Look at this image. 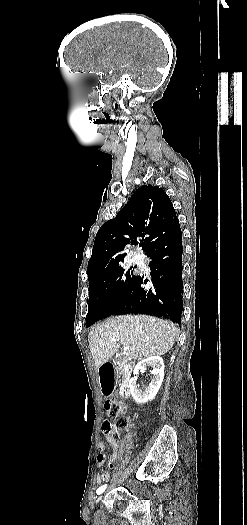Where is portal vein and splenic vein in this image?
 <instances>
[{
	"label": "portal vein and splenic vein",
	"instance_id": "18ae733b",
	"mask_svg": "<svg viewBox=\"0 0 247 525\" xmlns=\"http://www.w3.org/2000/svg\"><path fill=\"white\" fill-rule=\"evenodd\" d=\"M130 347H124L123 351H129Z\"/></svg>",
	"mask_w": 247,
	"mask_h": 525
}]
</instances>
